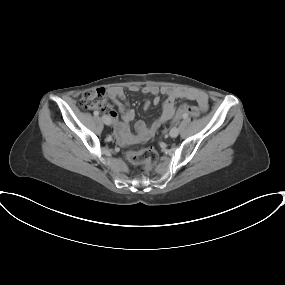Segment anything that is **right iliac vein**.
Returning a JSON list of instances; mask_svg holds the SVG:
<instances>
[{
    "instance_id": "1",
    "label": "right iliac vein",
    "mask_w": 285,
    "mask_h": 285,
    "mask_svg": "<svg viewBox=\"0 0 285 285\" xmlns=\"http://www.w3.org/2000/svg\"><path fill=\"white\" fill-rule=\"evenodd\" d=\"M102 120H103L104 124H106V125H111V123H112L111 119L107 115H103Z\"/></svg>"
}]
</instances>
